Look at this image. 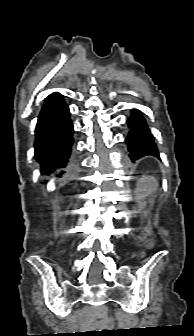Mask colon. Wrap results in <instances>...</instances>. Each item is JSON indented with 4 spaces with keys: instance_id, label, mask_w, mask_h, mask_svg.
<instances>
[{
    "instance_id": "colon-1",
    "label": "colon",
    "mask_w": 194,
    "mask_h": 336,
    "mask_svg": "<svg viewBox=\"0 0 194 336\" xmlns=\"http://www.w3.org/2000/svg\"><path fill=\"white\" fill-rule=\"evenodd\" d=\"M146 246L149 247V248H151V247L154 246V243L153 242H149Z\"/></svg>"
}]
</instances>
